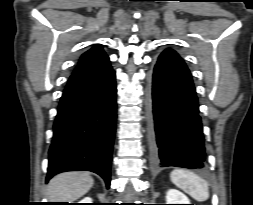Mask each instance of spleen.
I'll return each mask as SVG.
<instances>
[{
	"mask_svg": "<svg viewBox=\"0 0 253 205\" xmlns=\"http://www.w3.org/2000/svg\"><path fill=\"white\" fill-rule=\"evenodd\" d=\"M171 181L195 200L203 202L209 198L208 183L198 175L185 169H175L170 174Z\"/></svg>",
	"mask_w": 253,
	"mask_h": 205,
	"instance_id": "3e777b00",
	"label": "spleen"
}]
</instances>
